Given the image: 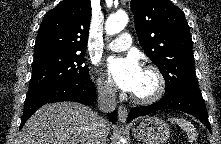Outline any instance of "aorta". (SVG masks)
Returning <instances> with one entry per match:
<instances>
[{"instance_id":"aorta-1","label":"aorta","mask_w":221,"mask_h":144,"mask_svg":"<svg viewBox=\"0 0 221 144\" xmlns=\"http://www.w3.org/2000/svg\"><path fill=\"white\" fill-rule=\"evenodd\" d=\"M127 23L128 15L126 12H117L107 19L105 23V31L108 35H114L121 32L126 27ZM118 144H120V142H118Z\"/></svg>"}]
</instances>
